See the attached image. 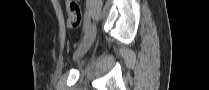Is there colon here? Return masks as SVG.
Masks as SVG:
<instances>
[{"instance_id": "1", "label": "colon", "mask_w": 209, "mask_h": 90, "mask_svg": "<svg viewBox=\"0 0 209 90\" xmlns=\"http://www.w3.org/2000/svg\"><path fill=\"white\" fill-rule=\"evenodd\" d=\"M66 10L68 13V27L78 28L81 24V11L79 5L75 1H66Z\"/></svg>"}]
</instances>
